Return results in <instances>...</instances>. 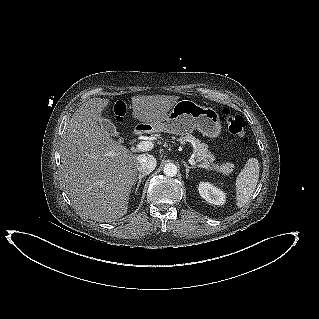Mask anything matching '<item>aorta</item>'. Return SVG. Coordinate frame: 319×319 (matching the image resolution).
I'll return each mask as SVG.
<instances>
[{"instance_id": "obj_1", "label": "aorta", "mask_w": 319, "mask_h": 319, "mask_svg": "<svg viewBox=\"0 0 319 319\" xmlns=\"http://www.w3.org/2000/svg\"><path fill=\"white\" fill-rule=\"evenodd\" d=\"M177 166L173 163H168L164 166V174L168 177H174L177 174Z\"/></svg>"}]
</instances>
